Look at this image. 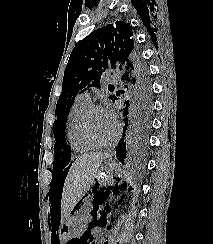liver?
<instances>
[{"mask_svg":"<svg viewBox=\"0 0 213 244\" xmlns=\"http://www.w3.org/2000/svg\"><path fill=\"white\" fill-rule=\"evenodd\" d=\"M108 154L96 152L78 157L68 171L61 198V218L66 219L76 203L90 189L100 164Z\"/></svg>","mask_w":213,"mask_h":244,"instance_id":"1","label":"liver"}]
</instances>
